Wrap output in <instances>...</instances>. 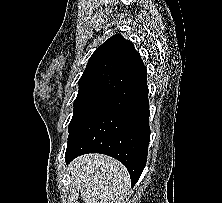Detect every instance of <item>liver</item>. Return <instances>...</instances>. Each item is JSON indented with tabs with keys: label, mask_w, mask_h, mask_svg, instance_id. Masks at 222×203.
<instances>
[{
	"label": "liver",
	"mask_w": 222,
	"mask_h": 203,
	"mask_svg": "<svg viewBox=\"0 0 222 203\" xmlns=\"http://www.w3.org/2000/svg\"><path fill=\"white\" fill-rule=\"evenodd\" d=\"M71 183L86 203H124L130 188L127 168L103 154H86L69 165Z\"/></svg>",
	"instance_id": "6515ba94"
}]
</instances>
